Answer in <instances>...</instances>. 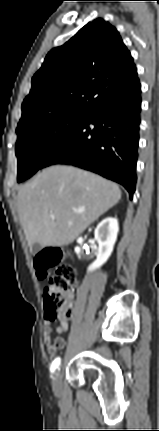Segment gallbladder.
<instances>
[{
	"label": "gallbladder",
	"instance_id": "bac80fb5",
	"mask_svg": "<svg viewBox=\"0 0 159 431\" xmlns=\"http://www.w3.org/2000/svg\"><path fill=\"white\" fill-rule=\"evenodd\" d=\"M40 249H41V245L39 243H35L31 247V251L33 254L38 253L40 251Z\"/></svg>",
	"mask_w": 159,
	"mask_h": 431
}]
</instances>
